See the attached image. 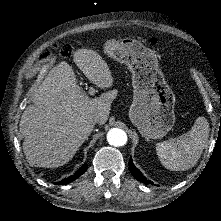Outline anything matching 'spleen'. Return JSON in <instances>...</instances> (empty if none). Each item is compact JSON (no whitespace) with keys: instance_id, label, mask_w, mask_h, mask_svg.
<instances>
[{"instance_id":"3e777b00","label":"spleen","mask_w":221,"mask_h":221,"mask_svg":"<svg viewBox=\"0 0 221 221\" xmlns=\"http://www.w3.org/2000/svg\"><path fill=\"white\" fill-rule=\"evenodd\" d=\"M209 134V121L206 117H198L185 134L157 144L156 151L160 161L172 171L191 169L202 156Z\"/></svg>"}]
</instances>
